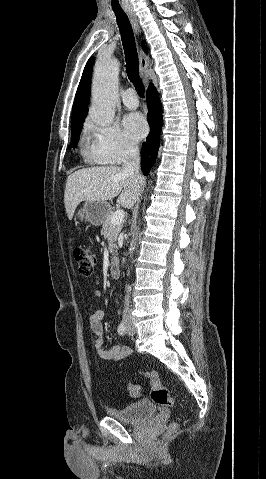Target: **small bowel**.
<instances>
[{"label": "small bowel", "mask_w": 266, "mask_h": 479, "mask_svg": "<svg viewBox=\"0 0 266 479\" xmlns=\"http://www.w3.org/2000/svg\"><path fill=\"white\" fill-rule=\"evenodd\" d=\"M99 295V291L95 292ZM104 313L101 310H97L90 317V329L92 333L97 337L95 341V350L99 358L110 361H120L131 355V349L125 346L114 345L110 348H105L103 341V324L102 320Z\"/></svg>", "instance_id": "obj_1"}]
</instances>
